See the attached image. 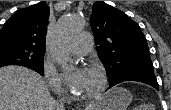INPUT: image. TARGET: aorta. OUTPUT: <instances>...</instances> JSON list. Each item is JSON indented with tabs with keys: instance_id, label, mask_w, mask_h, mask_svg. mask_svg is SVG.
I'll return each mask as SVG.
<instances>
[{
	"instance_id": "762f6f07",
	"label": "aorta",
	"mask_w": 171,
	"mask_h": 110,
	"mask_svg": "<svg viewBox=\"0 0 171 110\" xmlns=\"http://www.w3.org/2000/svg\"><path fill=\"white\" fill-rule=\"evenodd\" d=\"M84 20L78 15H65L58 21L55 34L52 41V53L54 60L62 65L67 66L70 62L65 45L72 36L82 30Z\"/></svg>"
}]
</instances>
